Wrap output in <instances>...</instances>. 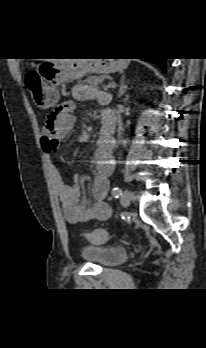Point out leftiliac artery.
<instances>
[{
    "label": "left iliac artery",
    "mask_w": 206,
    "mask_h": 348,
    "mask_svg": "<svg viewBox=\"0 0 206 348\" xmlns=\"http://www.w3.org/2000/svg\"><path fill=\"white\" fill-rule=\"evenodd\" d=\"M121 195V189L119 187H114L112 189V196L118 198Z\"/></svg>",
    "instance_id": "44dca946"
}]
</instances>
